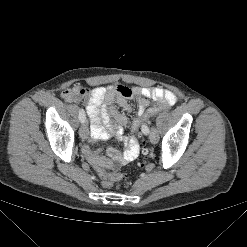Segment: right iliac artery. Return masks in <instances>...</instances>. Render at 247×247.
Returning <instances> with one entry per match:
<instances>
[{"label": "right iliac artery", "instance_id": "obj_1", "mask_svg": "<svg viewBox=\"0 0 247 247\" xmlns=\"http://www.w3.org/2000/svg\"><path fill=\"white\" fill-rule=\"evenodd\" d=\"M79 120L81 121V123L85 122L86 120L85 112L83 109L79 110Z\"/></svg>", "mask_w": 247, "mask_h": 247}]
</instances>
